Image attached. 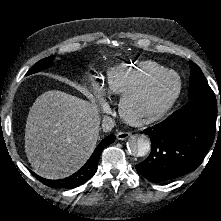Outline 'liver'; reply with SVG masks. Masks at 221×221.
I'll return each mask as SVG.
<instances>
[{"mask_svg": "<svg viewBox=\"0 0 221 221\" xmlns=\"http://www.w3.org/2000/svg\"><path fill=\"white\" fill-rule=\"evenodd\" d=\"M99 125L95 103L58 90L41 94L25 128V152L33 171L46 179L76 172L97 145Z\"/></svg>", "mask_w": 221, "mask_h": 221, "instance_id": "obj_1", "label": "liver"}]
</instances>
